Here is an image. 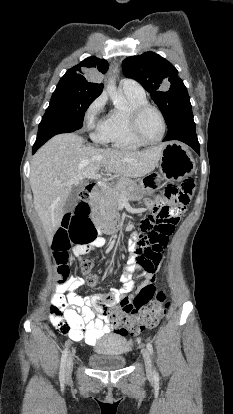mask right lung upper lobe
Instances as JSON below:
<instances>
[{"label":"right lung upper lobe","mask_w":233,"mask_h":414,"mask_svg":"<svg viewBox=\"0 0 233 414\" xmlns=\"http://www.w3.org/2000/svg\"><path fill=\"white\" fill-rule=\"evenodd\" d=\"M108 68L109 64L104 59L89 57L69 69L59 83L101 94L103 84L94 83L90 80L97 73L105 74Z\"/></svg>","instance_id":"right-lung-upper-lobe-1"}]
</instances>
